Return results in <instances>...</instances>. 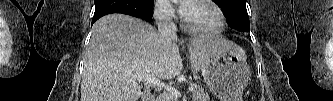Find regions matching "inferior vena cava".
<instances>
[{"instance_id":"inferior-vena-cava-1","label":"inferior vena cava","mask_w":333,"mask_h":101,"mask_svg":"<svg viewBox=\"0 0 333 101\" xmlns=\"http://www.w3.org/2000/svg\"><path fill=\"white\" fill-rule=\"evenodd\" d=\"M157 25H158L159 34L165 45L171 44L172 41L177 38L176 26L174 25L171 18L160 17L157 22Z\"/></svg>"}]
</instances>
